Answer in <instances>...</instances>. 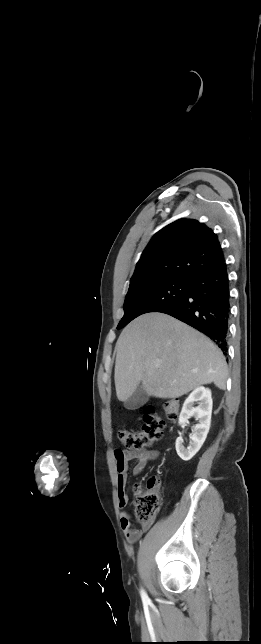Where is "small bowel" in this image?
Returning a JSON list of instances; mask_svg holds the SVG:
<instances>
[{"label":"small bowel","instance_id":"1","mask_svg":"<svg viewBox=\"0 0 261 644\" xmlns=\"http://www.w3.org/2000/svg\"><path fill=\"white\" fill-rule=\"evenodd\" d=\"M157 457L158 451L156 450H134L128 448L115 450L114 458L117 470V493L120 508H125L129 501L126 493L129 470H131L135 475H138L143 471L148 462L157 459ZM151 524V521L143 523L142 530H138L133 527L131 517L127 512H122L120 515V526L129 543H135L142 534L150 528Z\"/></svg>","mask_w":261,"mask_h":644}]
</instances>
